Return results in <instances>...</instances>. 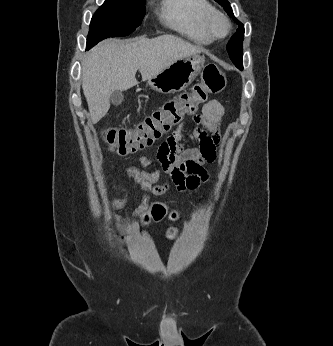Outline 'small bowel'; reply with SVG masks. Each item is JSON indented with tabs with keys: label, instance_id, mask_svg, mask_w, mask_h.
<instances>
[{
	"label": "small bowel",
	"instance_id": "1",
	"mask_svg": "<svg viewBox=\"0 0 333 346\" xmlns=\"http://www.w3.org/2000/svg\"><path fill=\"white\" fill-rule=\"evenodd\" d=\"M225 110L217 100L207 102L196 121L199 126L185 134L187 122L181 121L172 135L162 142L156 153L161 165L160 171H145L134 167H126L124 172L132 177L147 193L156 196L165 195L172 186L180 192H194L200 184L207 181L208 172L205 166L215 159L220 143V128ZM188 139H196L198 147L182 149ZM139 162L147 167L151 164L148 156H140ZM167 175L169 180L163 184L154 183L161 176ZM116 188H119L118 186ZM126 203V196L115 200L114 208H121ZM144 205V202L141 206Z\"/></svg>",
	"mask_w": 333,
	"mask_h": 346
}]
</instances>
